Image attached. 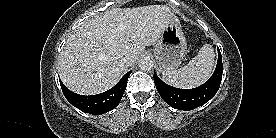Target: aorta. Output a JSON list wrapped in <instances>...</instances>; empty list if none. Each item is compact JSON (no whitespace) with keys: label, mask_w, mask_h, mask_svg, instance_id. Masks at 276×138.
Masks as SVG:
<instances>
[{"label":"aorta","mask_w":276,"mask_h":138,"mask_svg":"<svg viewBox=\"0 0 276 138\" xmlns=\"http://www.w3.org/2000/svg\"><path fill=\"white\" fill-rule=\"evenodd\" d=\"M139 68L142 71H150L153 68V61L149 57H143L139 60Z\"/></svg>","instance_id":"obj_1"}]
</instances>
